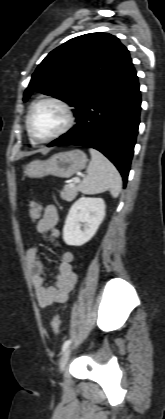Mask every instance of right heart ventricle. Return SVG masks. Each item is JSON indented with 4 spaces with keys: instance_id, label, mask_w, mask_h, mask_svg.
Listing matches in <instances>:
<instances>
[{
    "instance_id": "obj_1",
    "label": "right heart ventricle",
    "mask_w": 165,
    "mask_h": 419,
    "mask_svg": "<svg viewBox=\"0 0 165 419\" xmlns=\"http://www.w3.org/2000/svg\"><path fill=\"white\" fill-rule=\"evenodd\" d=\"M30 141L32 142V143H34L33 141H32V139L30 138Z\"/></svg>"
}]
</instances>
